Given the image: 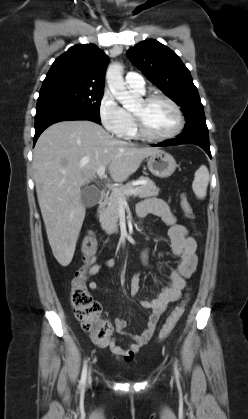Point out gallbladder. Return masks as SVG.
Segmentation results:
<instances>
[{
	"label": "gallbladder",
	"instance_id": "gallbladder-1",
	"mask_svg": "<svg viewBox=\"0 0 248 419\" xmlns=\"http://www.w3.org/2000/svg\"><path fill=\"white\" fill-rule=\"evenodd\" d=\"M100 200V192L95 187H88L82 191L81 201L85 207H92Z\"/></svg>",
	"mask_w": 248,
	"mask_h": 419
}]
</instances>
